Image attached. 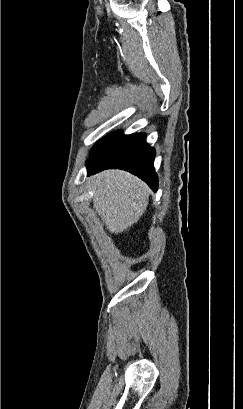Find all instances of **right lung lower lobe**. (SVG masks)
Returning <instances> with one entry per match:
<instances>
[{"label": "right lung lower lobe", "mask_w": 243, "mask_h": 409, "mask_svg": "<svg viewBox=\"0 0 243 409\" xmlns=\"http://www.w3.org/2000/svg\"><path fill=\"white\" fill-rule=\"evenodd\" d=\"M155 150L146 143V134L113 133L98 141L87 160L88 175L104 169H123L144 180L154 191L158 177L154 169Z\"/></svg>", "instance_id": "1"}]
</instances>
